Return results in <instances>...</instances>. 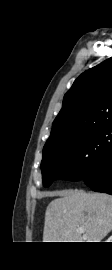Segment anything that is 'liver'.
I'll return each mask as SVG.
<instances>
[{
  "mask_svg": "<svg viewBox=\"0 0 112 270\" xmlns=\"http://www.w3.org/2000/svg\"><path fill=\"white\" fill-rule=\"evenodd\" d=\"M43 242H101L112 230V196L65 190L51 194ZM84 232H79V228Z\"/></svg>",
  "mask_w": 112,
  "mask_h": 270,
  "instance_id": "1",
  "label": "liver"
}]
</instances>
